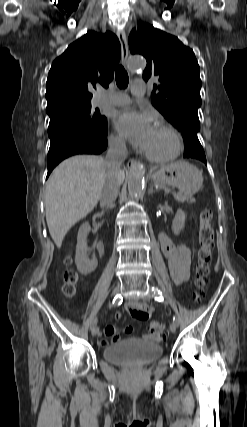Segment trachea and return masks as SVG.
I'll return each mask as SVG.
<instances>
[{
    "label": "trachea",
    "instance_id": "trachea-1",
    "mask_svg": "<svg viewBox=\"0 0 247 427\" xmlns=\"http://www.w3.org/2000/svg\"><path fill=\"white\" fill-rule=\"evenodd\" d=\"M116 84L119 88L124 89L128 86L129 78L125 69L120 65L115 72Z\"/></svg>",
    "mask_w": 247,
    "mask_h": 427
}]
</instances>
